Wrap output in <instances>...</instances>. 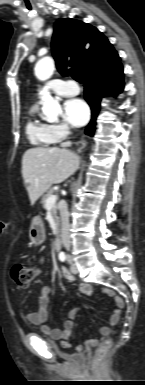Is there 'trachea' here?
Masks as SVG:
<instances>
[{
    "mask_svg": "<svg viewBox=\"0 0 145 385\" xmlns=\"http://www.w3.org/2000/svg\"><path fill=\"white\" fill-rule=\"evenodd\" d=\"M69 74L72 76L73 79H75L77 82L79 83H82L83 80L80 76V74L78 73V71H76L74 68H70L69 69Z\"/></svg>",
    "mask_w": 145,
    "mask_h": 385,
    "instance_id": "3493384b",
    "label": "trachea"
}]
</instances>
